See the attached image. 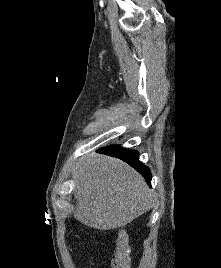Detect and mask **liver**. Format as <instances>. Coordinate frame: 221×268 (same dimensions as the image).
<instances>
[{"label": "liver", "instance_id": "6515ba94", "mask_svg": "<svg viewBox=\"0 0 221 268\" xmlns=\"http://www.w3.org/2000/svg\"><path fill=\"white\" fill-rule=\"evenodd\" d=\"M77 200L74 217L100 230L123 227L153 207L142 176L114 157L91 153L73 174Z\"/></svg>", "mask_w": 221, "mask_h": 268}]
</instances>
